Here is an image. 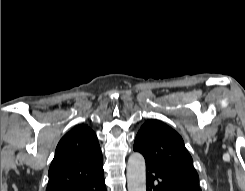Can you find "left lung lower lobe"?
Wrapping results in <instances>:
<instances>
[{"label":"left lung lower lobe","mask_w":245,"mask_h":191,"mask_svg":"<svg viewBox=\"0 0 245 191\" xmlns=\"http://www.w3.org/2000/svg\"><path fill=\"white\" fill-rule=\"evenodd\" d=\"M146 179L147 191H201V188L188 186L151 166H146Z\"/></svg>","instance_id":"obj_1"}]
</instances>
